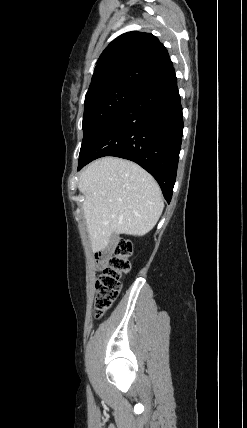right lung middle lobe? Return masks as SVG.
Segmentation results:
<instances>
[{"mask_svg":"<svg viewBox=\"0 0 247 428\" xmlns=\"http://www.w3.org/2000/svg\"><path fill=\"white\" fill-rule=\"evenodd\" d=\"M139 92L127 87H113L85 96L83 116L84 136L79 158L106 124Z\"/></svg>","mask_w":247,"mask_h":428,"instance_id":"dd1d6c3e","label":"right lung middle lobe"}]
</instances>
